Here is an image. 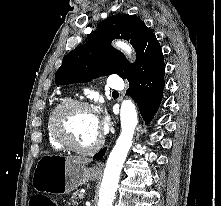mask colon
Instances as JSON below:
<instances>
[{
	"label": "colon",
	"mask_w": 221,
	"mask_h": 206,
	"mask_svg": "<svg viewBox=\"0 0 221 206\" xmlns=\"http://www.w3.org/2000/svg\"><path fill=\"white\" fill-rule=\"evenodd\" d=\"M29 206H56L55 203L44 195H34L29 201Z\"/></svg>",
	"instance_id": "colon-1"
}]
</instances>
